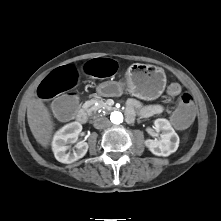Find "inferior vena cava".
<instances>
[{"instance_id": "1", "label": "inferior vena cava", "mask_w": 221, "mask_h": 221, "mask_svg": "<svg viewBox=\"0 0 221 221\" xmlns=\"http://www.w3.org/2000/svg\"><path fill=\"white\" fill-rule=\"evenodd\" d=\"M93 125L96 129H103L110 126V121L105 117H100L94 120Z\"/></svg>"}]
</instances>
